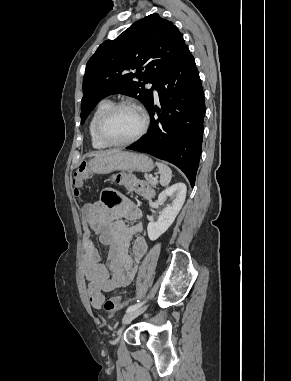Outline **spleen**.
<instances>
[{"mask_svg":"<svg viewBox=\"0 0 291 381\" xmlns=\"http://www.w3.org/2000/svg\"><path fill=\"white\" fill-rule=\"evenodd\" d=\"M156 165L159 169V173H160V184L162 186H167L170 181H171V178H172V171L171 169L163 164V163H160V162H156Z\"/></svg>","mask_w":291,"mask_h":381,"instance_id":"spleen-1","label":"spleen"}]
</instances>
